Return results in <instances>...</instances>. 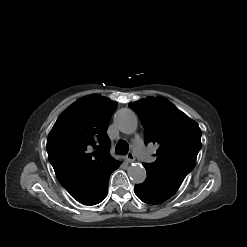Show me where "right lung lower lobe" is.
Segmentation results:
<instances>
[{
    "label": "right lung lower lobe",
    "mask_w": 247,
    "mask_h": 247,
    "mask_svg": "<svg viewBox=\"0 0 247 247\" xmlns=\"http://www.w3.org/2000/svg\"><path fill=\"white\" fill-rule=\"evenodd\" d=\"M119 166L120 163L117 162L112 168L88 184L78 194L74 195L73 198L84 205H95L100 203L107 195L108 182L111 173Z\"/></svg>",
    "instance_id": "obj_1"
}]
</instances>
